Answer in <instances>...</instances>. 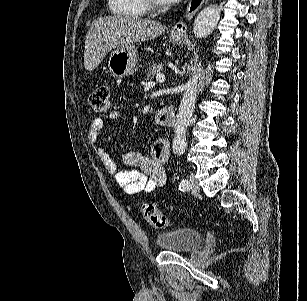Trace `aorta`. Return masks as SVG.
Listing matches in <instances>:
<instances>
[{
    "instance_id": "aorta-1",
    "label": "aorta",
    "mask_w": 307,
    "mask_h": 301,
    "mask_svg": "<svg viewBox=\"0 0 307 301\" xmlns=\"http://www.w3.org/2000/svg\"><path fill=\"white\" fill-rule=\"evenodd\" d=\"M220 18V8L217 4L206 6L194 20L193 32L197 38H204L213 32ZM198 96V76L193 72L186 82L185 92L179 104L176 120L173 124L174 138L172 148L176 153H184L186 148V132L188 122L195 110Z\"/></svg>"
}]
</instances>
